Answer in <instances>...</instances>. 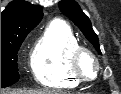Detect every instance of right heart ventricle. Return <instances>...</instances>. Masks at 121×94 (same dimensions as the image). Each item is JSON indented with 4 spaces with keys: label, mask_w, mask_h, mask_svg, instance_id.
Wrapping results in <instances>:
<instances>
[{
    "label": "right heart ventricle",
    "mask_w": 121,
    "mask_h": 94,
    "mask_svg": "<svg viewBox=\"0 0 121 94\" xmlns=\"http://www.w3.org/2000/svg\"><path fill=\"white\" fill-rule=\"evenodd\" d=\"M80 46L71 27L61 20L49 23L34 43L30 68L34 79L50 89H70L78 81L70 70V56Z\"/></svg>",
    "instance_id": "obj_1"
}]
</instances>
